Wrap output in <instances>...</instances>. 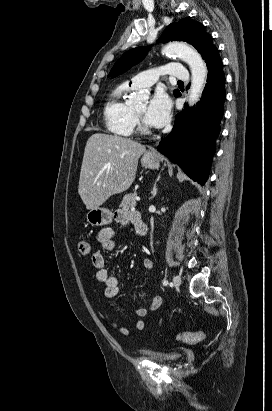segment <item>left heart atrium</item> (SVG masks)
I'll use <instances>...</instances> for the list:
<instances>
[{
    "instance_id": "left-heart-atrium-1",
    "label": "left heart atrium",
    "mask_w": 272,
    "mask_h": 411,
    "mask_svg": "<svg viewBox=\"0 0 272 411\" xmlns=\"http://www.w3.org/2000/svg\"><path fill=\"white\" fill-rule=\"evenodd\" d=\"M171 101L168 95L159 90L151 98L144 114L145 123L153 128L163 127L170 118Z\"/></svg>"
}]
</instances>
